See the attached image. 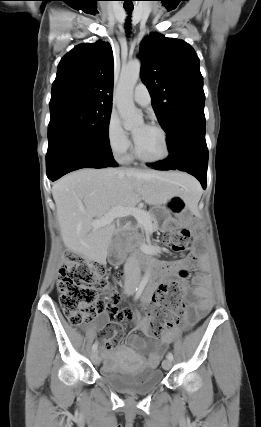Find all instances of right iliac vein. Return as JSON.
I'll return each mask as SVG.
<instances>
[{
	"label": "right iliac vein",
	"instance_id": "obj_1",
	"mask_svg": "<svg viewBox=\"0 0 261 427\" xmlns=\"http://www.w3.org/2000/svg\"><path fill=\"white\" fill-rule=\"evenodd\" d=\"M131 293V292H130ZM129 293V294H130ZM91 360L94 364H98L99 363V357H98V353L97 351H93L91 354Z\"/></svg>",
	"mask_w": 261,
	"mask_h": 427
}]
</instances>
